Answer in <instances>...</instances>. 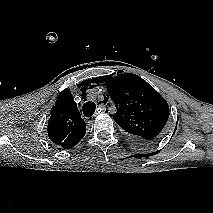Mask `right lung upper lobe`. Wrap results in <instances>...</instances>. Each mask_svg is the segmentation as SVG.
I'll return each mask as SVG.
<instances>
[{"label":"right lung upper lobe","instance_id":"1","mask_svg":"<svg viewBox=\"0 0 213 213\" xmlns=\"http://www.w3.org/2000/svg\"><path fill=\"white\" fill-rule=\"evenodd\" d=\"M50 114L48 136L58 147L69 149L84 137L86 124L69 89L59 94Z\"/></svg>","mask_w":213,"mask_h":213}]
</instances>
